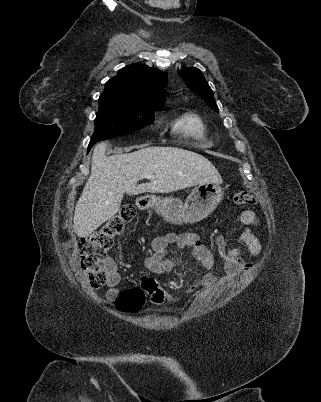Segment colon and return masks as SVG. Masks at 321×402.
Segmentation results:
<instances>
[{"mask_svg": "<svg viewBox=\"0 0 321 402\" xmlns=\"http://www.w3.org/2000/svg\"><path fill=\"white\" fill-rule=\"evenodd\" d=\"M233 200L238 205L256 204L254 195L249 192H238L233 196ZM134 216L133 207L124 206L99 229L80 238L78 243L80 265L93 289H100L105 285L108 277L105 266L106 255L113 248L116 237L124 233ZM144 303L145 294L140 288L124 291L117 300L120 310L127 313L138 312Z\"/></svg>", "mask_w": 321, "mask_h": 402, "instance_id": "colon-1", "label": "colon"}]
</instances>
